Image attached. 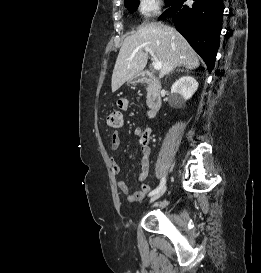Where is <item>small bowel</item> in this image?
Wrapping results in <instances>:
<instances>
[{
    "label": "small bowel",
    "mask_w": 261,
    "mask_h": 273,
    "mask_svg": "<svg viewBox=\"0 0 261 273\" xmlns=\"http://www.w3.org/2000/svg\"><path fill=\"white\" fill-rule=\"evenodd\" d=\"M129 102L126 99H121L117 102V107L119 111H126L128 109ZM153 114V113H152ZM153 115H150L152 117ZM152 130L150 128L146 129H136L135 135L138 139V143L141 147V158H140V171L138 174V180L142 182L141 187L138 191L133 194H130L129 187L126 182L119 180L117 186L119 190L127 196L129 202H138L141 201L145 195L150 190V185L144 183L149 175L150 169V155L151 150L148 145ZM111 148L113 151H117L120 147L121 138L119 133L116 131L111 137ZM111 167L114 174L118 175L121 172V166L115 158H111Z\"/></svg>",
    "instance_id": "obj_1"
}]
</instances>
